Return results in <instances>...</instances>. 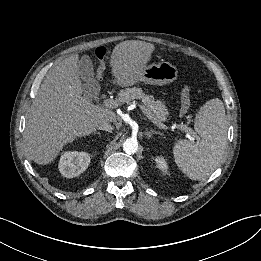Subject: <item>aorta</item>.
I'll list each match as a JSON object with an SVG mask.
<instances>
[{
	"instance_id": "1",
	"label": "aorta",
	"mask_w": 261,
	"mask_h": 261,
	"mask_svg": "<svg viewBox=\"0 0 261 261\" xmlns=\"http://www.w3.org/2000/svg\"><path fill=\"white\" fill-rule=\"evenodd\" d=\"M123 150L127 154H134L138 150V142L135 139L129 138L123 143Z\"/></svg>"
}]
</instances>
